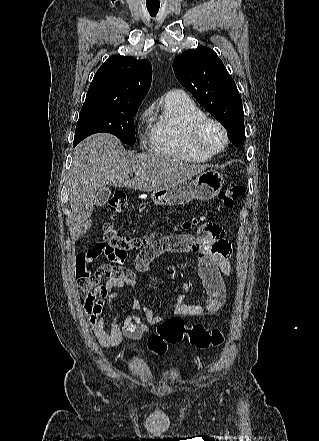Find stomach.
Instances as JSON below:
<instances>
[{
  "instance_id": "obj_1",
  "label": "stomach",
  "mask_w": 319,
  "mask_h": 441,
  "mask_svg": "<svg viewBox=\"0 0 319 441\" xmlns=\"http://www.w3.org/2000/svg\"><path fill=\"white\" fill-rule=\"evenodd\" d=\"M223 184L222 173L204 170L196 179H185L170 188L153 191L151 199L162 206L184 205L193 199L209 200L220 192Z\"/></svg>"
}]
</instances>
